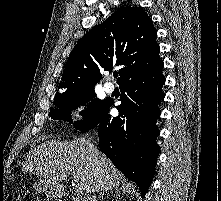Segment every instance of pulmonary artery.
Masks as SVG:
<instances>
[{"label":"pulmonary artery","mask_w":221,"mask_h":201,"mask_svg":"<svg viewBox=\"0 0 221 201\" xmlns=\"http://www.w3.org/2000/svg\"><path fill=\"white\" fill-rule=\"evenodd\" d=\"M104 90L107 92V93H111L114 91V85L111 83V82H106L104 84Z\"/></svg>","instance_id":"pulmonary-artery-1"}]
</instances>
